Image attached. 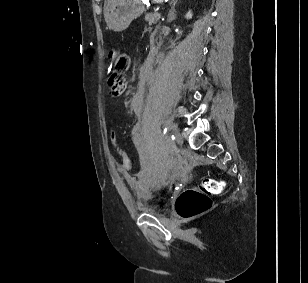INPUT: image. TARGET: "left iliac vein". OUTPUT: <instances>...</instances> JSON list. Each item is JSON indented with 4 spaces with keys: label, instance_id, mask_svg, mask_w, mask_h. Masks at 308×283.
<instances>
[{
    "label": "left iliac vein",
    "instance_id": "obj_1",
    "mask_svg": "<svg viewBox=\"0 0 308 283\" xmlns=\"http://www.w3.org/2000/svg\"><path fill=\"white\" fill-rule=\"evenodd\" d=\"M174 135H175V142L178 144V145H182L183 144V139L179 133L178 130H175L174 131ZM170 143H172V141L170 140L169 141Z\"/></svg>",
    "mask_w": 308,
    "mask_h": 283
}]
</instances>
